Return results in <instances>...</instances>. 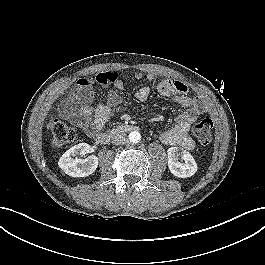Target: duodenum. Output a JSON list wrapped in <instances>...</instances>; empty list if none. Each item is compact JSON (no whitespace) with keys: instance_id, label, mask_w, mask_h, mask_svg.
<instances>
[{"instance_id":"duodenum-1","label":"duodenum","mask_w":265,"mask_h":265,"mask_svg":"<svg viewBox=\"0 0 265 265\" xmlns=\"http://www.w3.org/2000/svg\"><path fill=\"white\" fill-rule=\"evenodd\" d=\"M138 130V126L134 124H120L110 131L97 132L93 135L94 140L99 145H104L115 135L128 133Z\"/></svg>"}]
</instances>
